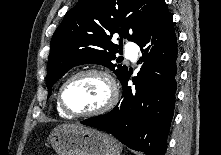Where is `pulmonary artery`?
Wrapping results in <instances>:
<instances>
[{"mask_svg":"<svg viewBox=\"0 0 221 155\" xmlns=\"http://www.w3.org/2000/svg\"><path fill=\"white\" fill-rule=\"evenodd\" d=\"M125 54L130 60L135 61L138 54V47L133 43H128L125 47Z\"/></svg>","mask_w":221,"mask_h":155,"instance_id":"obj_1","label":"pulmonary artery"}]
</instances>
